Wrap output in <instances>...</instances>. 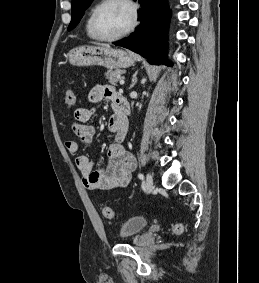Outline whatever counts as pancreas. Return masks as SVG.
<instances>
[{"label":"pancreas","mask_w":259,"mask_h":283,"mask_svg":"<svg viewBox=\"0 0 259 283\" xmlns=\"http://www.w3.org/2000/svg\"><path fill=\"white\" fill-rule=\"evenodd\" d=\"M122 74V70L117 69V70H108L105 73L106 78L109 80V82L113 85H116V83L120 80V76Z\"/></svg>","instance_id":"pancreas-1"}]
</instances>
